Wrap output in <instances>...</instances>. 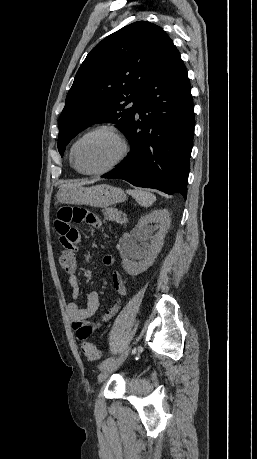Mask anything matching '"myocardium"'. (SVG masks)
<instances>
[{
  "instance_id": "obj_1",
  "label": "myocardium",
  "mask_w": 257,
  "mask_h": 459,
  "mask_svg": "<svg viewBox=\"0 0 257 459\" xmlns=\"http://www.w3.org/2000/svg\"><path fill=\"white\" fill-rule=\"evenodd\" d=\"M101 132H105V133H108L110 135H112L120 144V152L118 154V156L107 166L101 168V169H97V170H91V171H86V170H83L81 169L77 162H76V159H75V151H76V148L78 146V144L84 140L85 138L93 135V134H96V133H101ZM128 151H129V148H128V143L124 137V135L121 133V131L116 128L115 126H112V125H99V126H96L90 130H88L87 132H85L84 134H82L72 145L71 147V150H70V161H71V164L73 165V167L81 174H85V175H101V174H105V173H108L110 171H112L113 169H115L116 167H118L123 161L124 159L126 158L127 154H128Z\"/></svg>"
}]
</instances>
